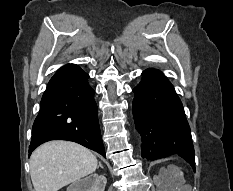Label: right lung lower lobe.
Segmentation results:
<instances>
[{"instance_id":"obj_1","label":"right lung lower lobe","mask_w":233,"mask_h":191,"mask_svg":"<svg viewBox=\"0 0 233 191\" xmlns=\"http://www.w3.org/2000/svg\"><path fill=\"white\" fill-rule=\"evenodd\" d=\"M80 67L67 64L50 79L33 128L29 154L50 140H69L105 157L97 117L95 91Z\"/></svg>"}]
</instances>
